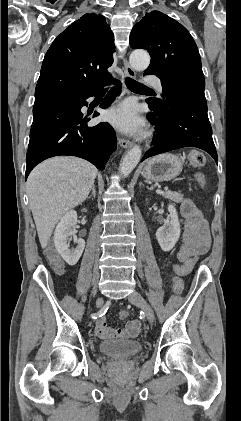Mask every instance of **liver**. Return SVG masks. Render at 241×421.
<instances>
[{
    "mask_svg": "<svg viewBox=\"0 0 241 421\" xmlns=\"http://www.w3.org/2000/svg\"><path fill=\"white\" fill-rule=\"evenodd\" d=\"M96 174L94 165L73 156L50 158L32 170L27 193L43 249L59 219L88 197Z\"/></svg>",
    "mask_w": 241,
    "mask_h": 421,
    "instance_id": "liver-1",
    "label": "liver"
}]
</instances>
